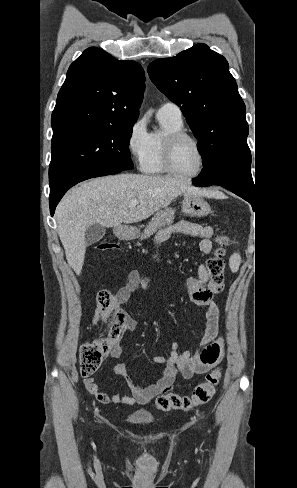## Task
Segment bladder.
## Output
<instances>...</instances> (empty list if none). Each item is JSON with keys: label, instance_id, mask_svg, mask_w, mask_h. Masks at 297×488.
I'll return each mask as SVG.
<instances>
[{"label": "bladder", "instance_id": "bladder-1", "mask_svg": "<svg viewBox=\"0 0 297 488\" xmlns=\"http://www.w3.org/2000/svg\"><path fill=\"white\" fill-rule=\"evenodd\" d=\"M127 421L133 425L146 426L154 422L152 416L143 411H135L127 415Z\"/></svg>", "mask_w": 297, "mask_h": 488}]
</instances>
